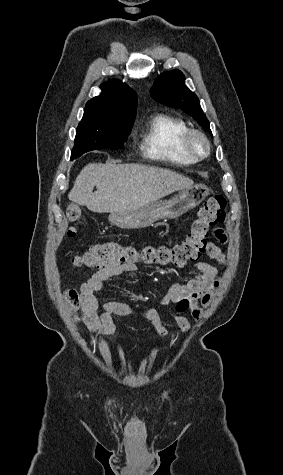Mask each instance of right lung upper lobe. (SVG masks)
Masks as SVG:
<instances>
[{
	"instance_id": "1",
	"label": "right lung upper lobe",
	"mask_w": 283,
	"mask_h": 475,
	"mask_svg": "<svg viewBox=\"0 0 283 475\" xmlns=\"http://www.w3.org/2000/svg\"><path fill=\"white\" fill-rule=\"evenodd\" d=\"M102 93L87 102L89 106L116 107L137 105L136 93L119 80H109L101 85Z\"/></svg>"
}]
</instances>
